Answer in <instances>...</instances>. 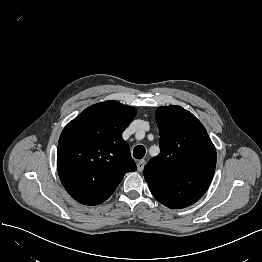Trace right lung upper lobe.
Segmentation results:
<instances>
[{"mask_svg": "<svg viewBox=\"0 0 262 262\" xmlns=\"http://www.w3.org/2000/svg\"><path fill=\"white\" fill-rule=\"evenodd\" d=\"M136 109L117 101L86 108L62 131L57 168L67 192L79 203L97 205L115 191L127 172L136 170L122 133Z\"/></svg>", "mask_w": 262, "mask_h": 262, "instance_id": "obj_1", "label": "right lung upper lobe"}]
</instances>
